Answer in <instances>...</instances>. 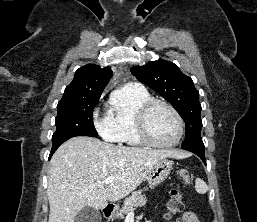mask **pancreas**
I'll return each instance as SVG.
<instances>
[{"label":"pancreas","instance_id":"pancreas-1","mask_svg":"<svg viewBox=\"0 0 257 222\" xmlns=\"http://www.w3.org/2000/svg\"><path fill=\"white\" fill-rule=\"evenodd\" d=\"M142 190L134 191L131 196L125 198L123 207L120 210V218H123L124 214L129 213L133 207L144 206L147 202L145 195L142 194Z\"/></svg>","mask_w":257,"mask_h":222}]
</instances>
